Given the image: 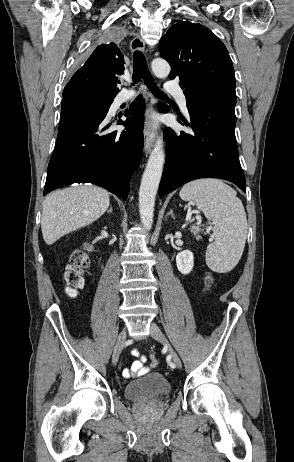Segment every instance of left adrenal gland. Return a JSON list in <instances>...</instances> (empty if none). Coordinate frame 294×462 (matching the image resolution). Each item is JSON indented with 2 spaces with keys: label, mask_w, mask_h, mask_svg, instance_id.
I'll list each match as a JSON object with an SVG mask.
<instances>
[{
  "label": "left adrenal gland",
  "mask_w": 294,
  "mask_h": 462,
  "mask_svg": "<svg viewBox=\"0 0 294 462\" xmlns=\"http://www.w3.org/2000/svg\"><path fill=\"white\" fill-rule=\"evenodd\" d=\"M169 215H170L172 218H174V213H173V210H170V211L167 213V215H166L165 219H166V218H167V216H169Z\"/></svg>",
  "instance_id": "a2214340"
}]
</instances>
